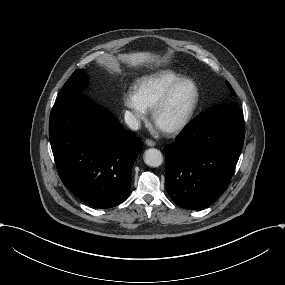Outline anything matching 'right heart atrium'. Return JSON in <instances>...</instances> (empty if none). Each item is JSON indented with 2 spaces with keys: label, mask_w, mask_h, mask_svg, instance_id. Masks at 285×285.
Segmentation results:
<instances>
[{
  "label": "right heart atrium",
  "mask_w": 285,
  "mask_h": 285,
  "mask_svg": "<svg viewBox=\"0 0 285 285\" xmlns=\"http://www.w3.org/2000/svg\"><path fill=\"white\" fill-rule=\"evenodd\" d=\"M123 106L130 111L133 123L145 122L149 115V109L139 98L136 89L130 88L123 96Z\"/></svg>",
  "instance_id": "1"
}]
</instances>
